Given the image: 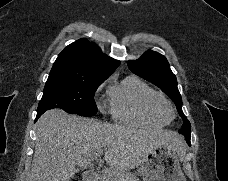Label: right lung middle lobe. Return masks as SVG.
Here are the masks:
<instances>
[{"instance_id": "right-lung-middle-lobe-1", "label": "right lung middle lobe", "mask_w": 228, "mask_h": 181, "mask_svg": "<svg viewBox=\"0 0 228 181\" xmlns=\"http://www.w3.org/2000/svg\"><path fill=\"white\" fill-rule=\"evenodd\" d=\"M104 80L86 82H65L47 80L42 99L38 105L37 117L46 110L61 108L71 114L93 116L97 112L94 93Z\"/></svg>"}]
</instances>
